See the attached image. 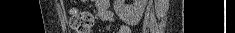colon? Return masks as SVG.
<instances>
[{"mask_svg":"<svg viewBox=\"0 0 235 33\" xmlns=\"http://www.w3.org/2000/svg\"><path fill=\"white\" fill-rule=\"evenodd\" d=\"M69 23L75 33H90L93 17L89 12L75 9L71 12Z\"/></svg>","mask_w":235,"mask_h":33,"instance_id":"5ec220e1","label":"colon"}]
</instances>
